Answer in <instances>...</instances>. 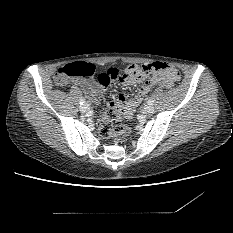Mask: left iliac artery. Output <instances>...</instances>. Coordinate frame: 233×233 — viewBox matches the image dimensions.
<instances>
[{
	"label": "left iliac artery",
	"instance_id": "left-iliac-artery-1",
	"mask_svg": "<svg viewBox=\"0 0 233 233\" xmlns=\"http://www.w3.org/2000/svg\"><path fill=\"white\" fill-rule=\"evenodd\" d=\"M147 103H148V105H153L154 101L153 100H149Z\"/></svg>",
	"mask_w": 233,
	"mask_h": 233
}]
</instances>
